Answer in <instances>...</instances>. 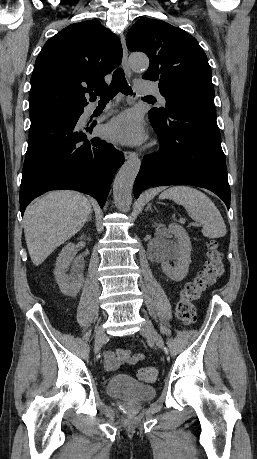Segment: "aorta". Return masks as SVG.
Instances as JSON below:
<instances>
[{
    "label": "aorta",
    "instance_id": "aorta-1",
    "mask_svg": "<svg viewBox=\"0 0 257 459\" xmlns=\"http://www.w3.org/2000/svg\"><path fill=\"white\" fill-rule=\"evenodd\" d=\"M130 64L134 70L144 71L149 66V59L145 55L133 54ZM141 161L137 156L127 160L119 169L113 184V198L116 207L123 212L130 210L132 203V189L139 172Z\"/></svg>",
    "mask_w": 257,
    "mask_h": 459
}]
</instances>
